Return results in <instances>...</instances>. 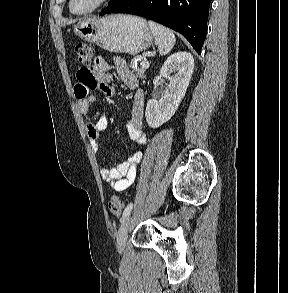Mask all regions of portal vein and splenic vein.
Wrapping results in <instances>:
<instances>
[{
  "instance_id": "18ae733b",
  "label": "portal vein and splenic vein",
  "mask_w": 288,
  "mask_h": 293,
  "mask_svg": "<svg viewBox=\"0 0 288 293\" xmlns=\"http://www.w3.org/2000/svg\"><path fill=\"white\" fill-rule=\"evenodd\" d=\"M140 65H141L142 68H148L149 67V62H148L147 59H143L141 61V64Z\"/></svg>"
}]
</instances>
